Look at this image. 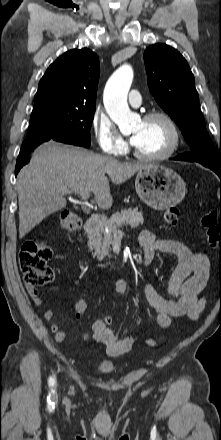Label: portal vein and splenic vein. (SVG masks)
I'll list each match as a JSON object with an SVG mask.
<instances>
[{"mask_svg":"<svg viewBox=\"0 0 221 440\" xmlns=\"http://www.w3.org/2000/svg\"><path fill=\"white\" fill-rule=\"evenodd\" d=\"M67 194H71V191H66ZM79 196L81 197V199L83 201H86L89 197H90V193L89 192H84V193H80ZM120 231V230H118Z\"/></svg>","mask_w":221,"mask_h":440,"instance_id":"obj_1","label":"portal vein and splenic vein"}]
</instances>
